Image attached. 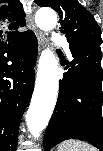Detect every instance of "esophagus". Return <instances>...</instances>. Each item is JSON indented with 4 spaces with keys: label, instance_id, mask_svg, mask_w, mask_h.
Segmentation results:
<instances>
[{
    "label": "esophagus",
    "instance_id": "obj_1",
    "mask_svg": "<svg viewBox=\"0 0 103 151\" xmlns=\"http://www.w3.org/2000/svg\"><path fill=\"white\" fill-rule=\"evenodd\" d=\"M28 24H29V28L35 32L37 40H38V47H39V50H41L43 48V45H44V35L41 31H39L37 29L32 15H30L28 17Z\"/></svg>",
    "mask_w": 103,
    "mask_h": 151
}]
</instances>
